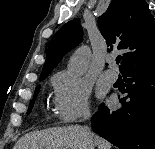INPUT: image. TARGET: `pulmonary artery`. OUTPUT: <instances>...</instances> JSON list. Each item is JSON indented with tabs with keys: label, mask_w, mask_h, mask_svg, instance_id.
<instances>
[{
	"label": "pulmonary artery",
	"mask_w": 155,
	"mask_h": 149,
	"mask_svg": "<svg viewBox=\"0 0 155 149\" xmlns=\"http://www.w3.org/2000/svg\"><path fill=\"white\" fill-rule=\"evenodd\" d=\"M110 64H114V58H109L108 59ZM104 76L105 78L109 81V82H115L118 79V73L116 72L115 69H108L104 72Z\"/></svg>",
	"instance_id": "pulmonary-artery-1"
}]
</instances>
